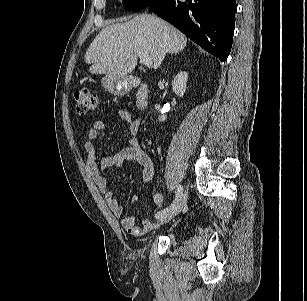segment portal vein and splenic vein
Returning <instances> with one entry per match:
<instances>
[{"label": "portal vein and splenic vein", "instance_id": "18ae733b", "mask_svg": "<svg viewBox=\"0 0 307 301\" xmlns=\"http://www.w3.org/2000/svg\"><path fill=\"white\" fill-rule=\"evenodd\" d=\"M141 62L144 64V66L146 67H151L152 66V58L147 56V55H144V54H138Z\"/></svg>", "mask_w": 307, "mask_h": 301}]
</instances>
